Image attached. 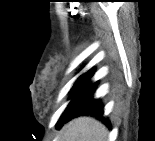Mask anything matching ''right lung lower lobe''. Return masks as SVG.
Wrapping results in <instances>:
<instances>
[{"label": "right lung lower lobe", "instance_id": "98d812e1", "mask_svg": "<svg viewBox=\"0 0 155 141\" xmlns=\"http://www.w3.org/2000/svg\"><path fill=\"white\" fill-rule=\"evenodd\" d=\"M96 84L88 82L76 93L57 128H61L64 123L80 115H90L109 124L108 120L103 117V107L99 100L93 99Z\"/></svg>", "mask_w": 155, "mask_h": 141}]
</instances>
